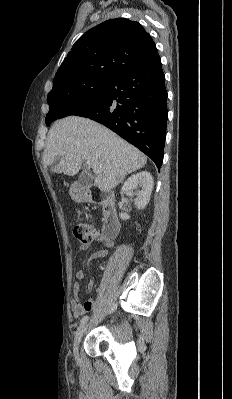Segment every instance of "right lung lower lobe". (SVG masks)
<instances>
[{"label": "right lung lower lobe", "instance_id": "1", "mask_svg": "<svg viewBox=\"0 0 232 399\" xmlns=\"http://www.w3.org/2000/svg\"><path fill=\"white\" fill-rule=\"evenodd\" d=\"M166 101L165 75L156 51L112 76L97 98L67 108L58 119L76 115L95 120L139 148L160 168L167 127Z\"/></svg>", "mask_w": 232, "mask_h": 399}]
</instances>
